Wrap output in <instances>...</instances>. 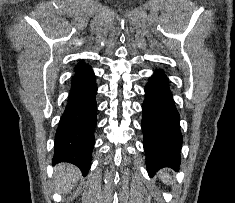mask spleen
<instances>
[{
  "label": "spleen",
  "instance_id": "spleen-1",
  "mask_svg": "<svg viewBox=\"0 0 235 203\" xmlns=\"http://www.w3.org/2000/svg\"><path fill=\"white\" fill-rule=\"evenodd\" d=\"M159 178L165 183V184H172V178L169 176L167 172L164 170L159 172Z\"/></svg>",
  "mask_w": 235,
  "mask_h": 203
}]
</instances>
